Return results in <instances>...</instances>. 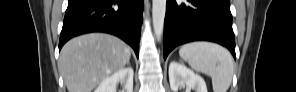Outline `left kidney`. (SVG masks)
<instances>
[{
	"label": "left kidney",
	"mask_w": 296,
	"mask_h": 92,
	"mask_svg": "<svg viewBox=\"0 0 296 92\" xmlns=\"http://www.w3.org/2000/svg\"><path fill=\"white\" fill-rule=\"evenodd\" d=\"M169 82L173 92H178L179 87L182 86L195 90V92H207L206 83L200 75L175 61L169 65Z\"/></svg>",
	"instance_id": "obj_1"
}]
</instances>
